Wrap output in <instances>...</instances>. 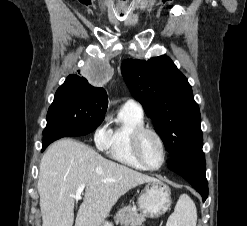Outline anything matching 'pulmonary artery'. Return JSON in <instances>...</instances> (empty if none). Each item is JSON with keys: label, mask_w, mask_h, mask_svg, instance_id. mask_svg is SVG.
<instances>
[{"label": "pulmonary artery", "mask_w": 247, "mask_h": 226, "mask_svg": "<svg viewBox=\"0 0 247 226\" xmlns=\"http://www.w3.org/2000/svg\"><path fill=\"white\" fill-rule=\"evenodd\" d=\"M125 105L126 106H130V107H133V108H135V109H137V110H139V111L142 112V106H141V104L139 102L133 100V99L127 100L126 103H125Z\"/></svg>", "instance_id": "obj_1"}]
</instances>
